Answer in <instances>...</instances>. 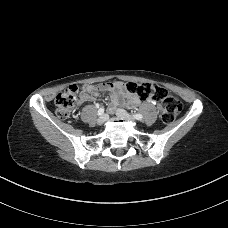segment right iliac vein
<instances>
[{
	"instance_id": "63e3f726",
	"label": "right iliac vein",
	"mask_w": 228,
	"mask_h": 228,
	"mask_svg": "<svg viewBox=\"0 0 228 228\" xmlns=\"http://www.w3.org/2000/svg\"><path fill=\"white\" fill-rule=\"evenodd\" d=\"M108 119V115L103 114L97 119V124L101 125Z\"/></svg>"
}]
</instances>
